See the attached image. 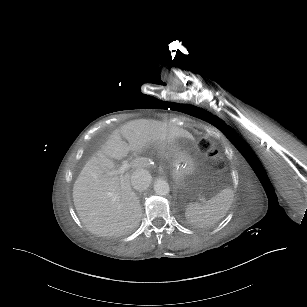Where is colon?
I'll list each match as a JSON object with an SVG mask.
<instances>
[{
    "label": "colon",
    "mask_w": 307,
    "mask_h": 307,
    "mask_svg": "<svg viewBox=\"0 0 307 307\" xmlns=\"http://www.w3.org/2000/svg\"><path fill=\"white\" fill-rule=\"evenodd\" d=\"M198 147L200 150L207 152L208 157L205 160V163L208 167L213 168L217 166V168L221 171H224L228 168L229 163L225 158V155L220 150L211 149L212 144L209 139L202 138L198 142ZM211 149V150H210Z\"/></svg>",
    "instance_id": "obj_1"
}]
</instances>
